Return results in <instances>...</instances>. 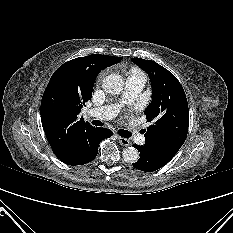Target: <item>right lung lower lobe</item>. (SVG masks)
<instances>
[{
	"label": "right lung lower lobe",
	"mask_w": 233,
	"mask_h": 233,
	"mask_svg": "<svg viewBox=\"0 0 233 233\" xmlns=\"http://www.w3.org/2000/svg\"><path fill=\"white\" fill-rule=\"evenodd\" d=\"M112 135L109 129L93 127L83 134L70 154L59 159L68 165L86 164L96 157L100 141Z\"/></svg>",
	"instance_id": "right-lung-lower-lobe-1"
}]
</instances>
